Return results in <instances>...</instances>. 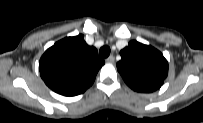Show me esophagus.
I'll return each instance as SVG.
<instances>
[{
    "label": "esophagus",
    "instance_id": "1",
    "mask_svg": "<svg viewBox=\"0 0 203 123\" xmlns=\"http://www.w3.org/2000/svg\"><path fill=\"white\" fill-rule=\"evenodd\" d=\"M107 63H114L115 61V58L113 55L109 56L106 60H105Z\"/></svg>",
    "mask_w": 203,
    "mask_h": 123
}]
</instances>
